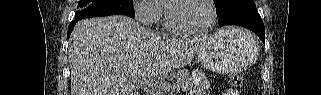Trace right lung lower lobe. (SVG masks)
<instances>
[{
	"instance_id": "obj_1",
	"label": "right lung lower lobe",
	"mask_w": 321,
	"mask_h": 95,
	"mask_svg": "<svg viewBox=\"0 0 321 95\" xmlns=\"http://www.w3.org/2000/svg\"><path fill=\"white\" fill-rule=\"evenodd\" d=\"M77 21H78V20H74V21H72V22L70 23V25H69V27H68V38L70 37V34H71V32H72V29H73V27H74V25L76 24Z\"/></svg>"
}]
</instances>
